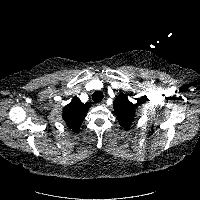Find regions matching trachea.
<instances>
[{"instance_id":"1","label":"trachea","mask_w":200,"mask_h":200,"mask_svg":"<svg viewBox=\"0 0 200 200\" xmlns=\"http://www.w3.org/2000/svg\"><path fill=\"white\" fill-rule=\"evenodd\" d=\"M104 95L101 91H95L93 94H92V100L96 103L98 102H101L102 99H103Z\"/></svg>"}]
</instances>
